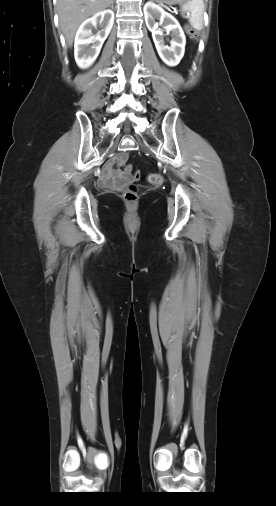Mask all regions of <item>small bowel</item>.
<instances>
[{
    "label": "small bowel",
    "mask_w": 276,
    "mask_h": 506,
    "mask_svg": "<svg viewBox=\"0 0 276 506\" xmlns=\"http://www.w3.org/2000/svg\"><path fill=\"white\" fill-rule=\"evenodd\" d=\"M125 154L117 155L116 159L109 162L104 170L103 174L100 178L99 184L101 187L109 188V187H117L123 182H127L129 180V176L125 172H121L114 168V164H123L125 161Z\"/></svg>",
    "instance_id": "1"
}]
</instances>
